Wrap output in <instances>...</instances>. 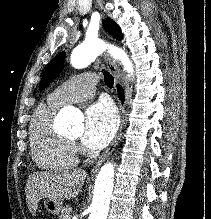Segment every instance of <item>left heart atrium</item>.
Wrapping results in <instances>:
<instances>
[{
	"label": "left heart atrium",
	"mask_w": 211,
	"mask_h": 219,
	"mask_svg": "<svg viewBox=\"0 0 211 219\" xmlns=\"http://www.w3.org/2000/svg\"><path fill=\"white\" fill-rule=\"evenodd\" d=\"M117 126L114 107L109 102L99 101L86 111L82 142L89 149H101L111 141Z\"/></svg>",
	"instance_id": "39dd6f15"
}]
</instances>
